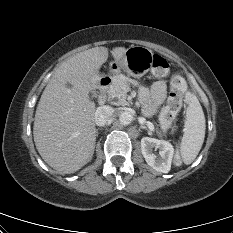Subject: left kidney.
Listing matches in <instances>:
<instances>
[{"instance_id": "obj_1", "label": "left kidney", "mask_w": 233, "mask_h": 233, "mask_svg": "<svg viewBox=\"0 0 233 233\" xmlns=\"http://www.w3.org/2000/svg\"><path fill=\"white\" fill-rule=\"evenodd\" d=\"M154 148L159 150V155L154 153ZM141 152L147 164L154 170L161 173L170 171L174 148L168 141L143 137L141 139Z\"/></svg>"}]
</instances>
